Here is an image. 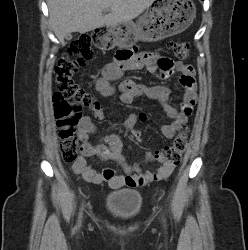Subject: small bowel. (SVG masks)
Wrapping results in <instances>:
<instances>
[{
    "mask_svg": "<svg viewBox=\"0 0 248 250\" xmlns=\"http://www.w3.org/2000/svg\"><path fill=\"white\" fill-rule=\"evenodd\" d=\"M136 69H146L161 79H167L173 71H178L181 74L180 84L184 90L180 108L177 109L168 103L170 89L166 86L140 84L130 79L120 80L124 71ZM116 81H119L117 85L113 83ZM96 89L103 97H111L119 91L120 100L126 104L132 103L136 98L159 101L165 114L171 119V122L163 124L160 128L161 134L167 139H172L186 121L187 109L191 108L197 99L193 66L182 62H172L154 51L135 53L132 51V54L124 61L107 64L103 68L101 76L96 80ZM92 113L96 120L103 121L106 118L101 106L93 108ZM138 119L145 120V115H129L123 123L124 128L132 130ZM95 132L96 126L91 118L83 116L78 125L82 155L79 161L73 164L72 168L84 180L95 184L107 182L110 187L118 189L124 186H143L151 181L163 180L172 173L174 166L164 159L161 151L147 154L149 161L160 163L158 170L156 172H141L138 166H130L126 163L121 153L122 141L118 134H108L102 138L100 143L93 144L90 136ZM95 155L105 160L115 161L123 168L125 174L117 175L113 169L96 171L85 161L86 157Z\"/></svg>",
    "mask_w": 248,
    "mask_h": 250,
    "instance_id": "1",
    "label": "small bowel"
}]
</instances>
